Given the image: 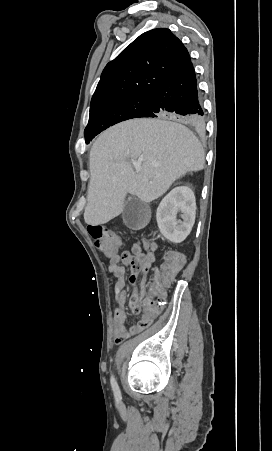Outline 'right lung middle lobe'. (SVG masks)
<instances>
[{
    "instance_id": "right-lung-middle-lobe-1",
    "label": "right lung middle lobe",
    "mask_w": 272,
    "mask_h": 451,
    "mask_svg": "<svg viewBox=\"0 0 272 451\" xmlns=\"http://www.w3.org/2000/svg\"><path fill=\"white\" fill-rule=\"evenodd\" d=\"M149 99L150 96L119 97L91 107L84 131L86 143L110 126L136 118L147 107Z\"/></svg>"
}]
</instances>
